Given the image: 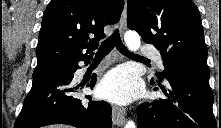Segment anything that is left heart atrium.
<instances>
[{"instance_id":"obj_1","label":"left heart atrium","mask_w":221,"mask_h":128,"mask_svg":"<svg viewBox=\"0 0 221 128\" xmlns=\"http://www.w3.org/2000/svg\"><path fill=\"white\" fill-rule=\"evenodd\" d=\"M139 89L138 78L125 68H116L106 75L97 91L100 97L125 105L133 100Z\"/></svg>"}]
</instances>
